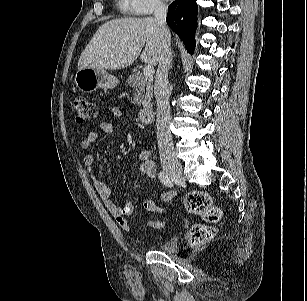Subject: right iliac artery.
Instances as JSON below:
<instances>
[{
  "label": "right iliac artery",
  "instance_id": "82829eb1",
  "mask_svg": "<svg viewBox=\"0 0 307 301\" xmlns=\"http://www.w3.org/2000/svg\"><path fill=\"white\" fill-rule=\"evenodd\" d=\"M159 179L165 186L168 187L173 186V179L169 175H167L164 171H160Z\"/></svg>",
  "mask_w": 307,
  "mask_h": 301
}]
</instances>
